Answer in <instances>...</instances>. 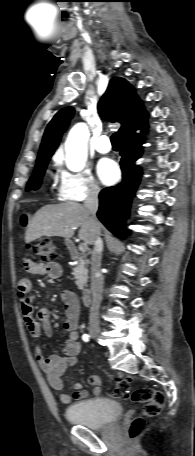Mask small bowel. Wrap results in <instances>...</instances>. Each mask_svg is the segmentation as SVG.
Here are the masks:
<instances>
[{
    "mask_svg": "<svg viewBox=\"0 0 195 456\" xmlns=\"http://www.w3.org/2000/svg\"><path fill=\"white\" fill-rule=\"evenodd\" d=\"M21 222L23 225L26 224V215L21 217ZM23 266L28 273L48 276L52 279H57L62 274L60 264L54 261L37 263L25 258L23 260ZM31 289L32 283L29 278L23 277L18 281L17 295L20 300L24 322L32 337L38 338L43 335L48 338L52 335L49 310L46 307H41L37 311L34 310L33 298L30 295ZM62 300L65 315L63 327L65 331L68 332V337L63 345V355H45L39 347H36L35 357L46 374L50 386L54 390L61 392L59 395L60 401L63 404H69L72 399L81 400L86 398L88 393L86 390L82 389V386L79 383L75 385V391L72 396L62 392L64 389L62 376L68 367L76 364L77 355L81 348L77 333L80 317L79 300L71 291H64L62 293ZM88 382L92 386V394L98 396L101 392L100 378L96 375H92L89 377Z\"/></svg>",
    "mask_w": 195,
    "mask_h": 456,
    "instance_id": "c3829d8e",
    "label": "small bowel"
}]
</instances>
